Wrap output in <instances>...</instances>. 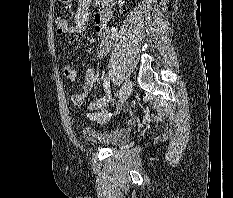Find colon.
<instances>
[{"label": "colon", "instance_id": "5ec220e1", "mask_svg": "<svg viewBox=\"0 0 233 198\" xmlns=\"http://www.w3.org/2000/svg\"><path fill=\"white\" fill-rule=\"evenodd\" d=\"M54 24L56 33L58 35H62L67 25L65 18L61 14H57L54 18ZM108 106L109 100L106 97H99L91 101L89 107L91 110L101 113L105 111L108 108Z\"/></svg>", "mask_w": 233, "mask_h": 198}]
</instances>
